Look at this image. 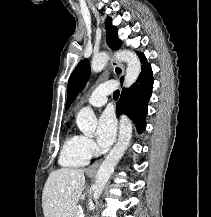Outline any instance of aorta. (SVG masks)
Masks as SVG:
<instances>
[{"mask_svg": "<svg viewBox=\"0 0 211 217\" xmlns=\"http://www.w3.org/2000/svg\"><path fill=\"white\" fill-rule=\"evenodd\" d=\"M115 57L123 62L127 63L126 74L124 78V86L126 88L130 87L136 82L140 72L141 64L137 55L131 51L121 50L116 52ZM109 59L107 53L102 52L94 56L91 63L92 72L98 73L102 71ZM76 123L78 128L85 135H92L97 127V119L93 110L89 107L82 108L77 116ZM132 136V124L130 119L126 115L120 116V126H119V137L116 145L107 155L105 160L102 162L99 170L97 172L96 181L93 185V198L96 199L100 196L105 184L109 180L112 172L118 161L123 156L126 151L130 139Z\"/></svg>", "mask_w": 211, "mask_h": 217, "instance_id": "aorta-1", "label": "aorta"}]
</instances>
